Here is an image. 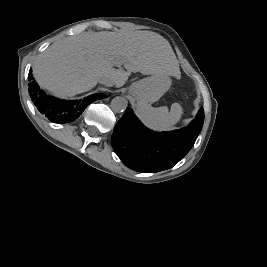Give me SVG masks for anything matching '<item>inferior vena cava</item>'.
I'll use <instances>...</instances> for the list:
<instances>
[{
  "instance_id": "1",
  "label": "inferior vena cava",
  "mask_w": 267,
  "mask_h": 267,
  "mask_svg": "<svg viewBox=\"0 0 267 267\" xmlns=\"http://www.w3.org/2000/svg\"><path fill=\"white\" fill-rule=\"evenodd\" d=\"M99 83L111 87L115 84V81L113 79L107 78V77H102L99 79Z\"/></svg>"
}]
</instances>
